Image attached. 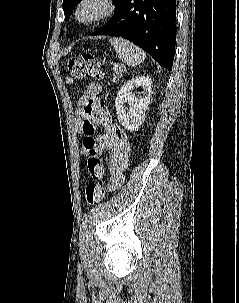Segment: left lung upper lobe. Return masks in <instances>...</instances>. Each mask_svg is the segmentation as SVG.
<instances>
[{"label":"left lung upper lobe","mask_w":239,"mask_h":303,"mask_svg":"<svg viewBox=\"0 0 239 303\" xmlns=\"http://www.w3.org/2000/svg\"><path fill=\"white\" fill-rule=\"evenodd\" d=\"M81 0H63V10L65 14V19L68 20L72 14L73 9L75 6L80 2ZM115 4V10L118 8V6L122 3L123 0H113ZM63 32H61L60 35H62Z\"/></svg>","instance_id":"5c2ea615"}]
</instances>
